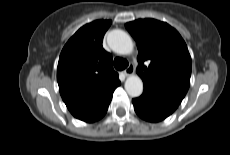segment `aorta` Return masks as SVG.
<instances>
[{"label":"aorta","instance_id":"1","mask_svg":"<svg viewBox=\"0 0 230 155\" xmlns=\"http://www.w3.org/2000/svg\"><path fill=\"white\" fill-rule=\"evenodd\" d=\"M111 49L122 55L130 54L133 51V41L131 37L123 30H113L107 38ZM125 90L131 97H138L143 92V82L137 75L129 76L125 81Z\"/></svg>","mask_w":230,"mask_h":155}]
</instances>
